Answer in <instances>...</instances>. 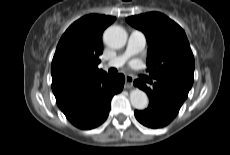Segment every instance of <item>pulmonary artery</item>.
<instances>
[{"label":"pulmonary artery","instance_id":"e3ab8cb5","mask_svg":"<svg viewBox=\"0 0 230 155\" xmlns=\"http://www.w3.org/2000/svg\"><path fill=\"white\" fill-rule=\"evenodd\" d=\"M146 45V37L144 33L138 30H133L129 36L126 50L104 64L105 68H119L121 67L131 56L139 53Z\"/></svg>","mask_w":230,"mask_h":155}]
</instances>
